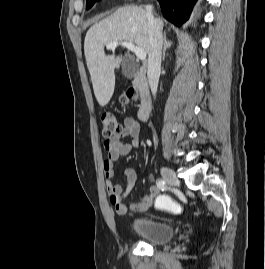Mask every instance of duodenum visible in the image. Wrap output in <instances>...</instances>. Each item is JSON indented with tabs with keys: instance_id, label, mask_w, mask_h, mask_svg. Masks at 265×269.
Returning <instances> with one entry per match:
<instances>
[{
	"instance_id": "410a0bca",
	"label": "duodenum",
	"mask_w": 265,
	"mask_h": 269,
	"mask_svg": "<svg viewBox=\"0 0 265 269\" xmlns=\"http://www.w3.org/2000/svg\"><path fill=\"white\" fill-rule=\"evenodd\" d=\"M133 86L138 90L140 96V106L137 112L138 119L140 121H145L151 112L152 100L144 69H141L136 73Z\"/></svg>"
}]
</instances>
